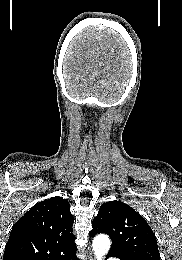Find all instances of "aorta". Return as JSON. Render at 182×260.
<instances>
[{
    "instance_id": "aorta-1",
    "label": "aorta",
    "mask_w": 182,
    "mask_h": 260,
    "mask_svg": "<svg viewBox=\"0 0 182 260\" xmlns=\"http://www.w3.org/2000/svg\"><path fill=\"white\" fill-rule=\"evenodd\" d=\"M92 247L96 260H103L110 249V240L106 235L100 234L94 238Z\"/></svg>"
}]
</instances>
